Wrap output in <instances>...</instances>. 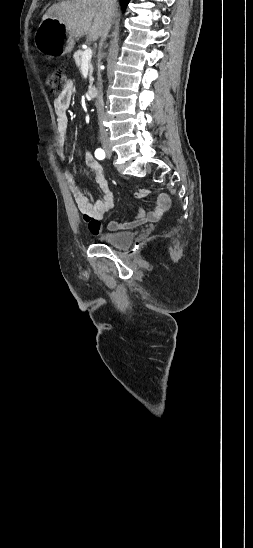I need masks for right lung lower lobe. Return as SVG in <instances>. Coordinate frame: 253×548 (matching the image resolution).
I'll return each instance as SVG.
<instances>
[{
    "label": "right lung lower lobe",
    "mask_w": 253,
    "mask_h": 548,
    "mask_svg": "<svg viewBox=\"0 0 253 548\" xmlns=\"http://www.w3.org/2000/svg\"><path fill=\"white\" fill-rule=\"evenodd\" d=\"M129 1H130V0H121L122 4H123L124 6H127V4L129 3Z\"/></svg>",
    "instance_id": "1"
}]
</instances>
